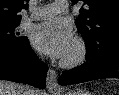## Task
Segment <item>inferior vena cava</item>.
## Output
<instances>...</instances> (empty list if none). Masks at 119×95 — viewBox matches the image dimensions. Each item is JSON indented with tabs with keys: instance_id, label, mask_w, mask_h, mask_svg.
<instances>
[{
	"instance_id": "602c4592",
	"label": "inferior vena cava",
	"mask_w": 119,
	"mask_h": 95,
	"mask_svg": "<svg viewBox=\"0 0 119 95\" xmlns=\"http://www.w3.org/2000/svg\"><path fill=\"white\" fill-rule=\"evenodd\" d=\"M21 95H32V90L29 88V86L25 85L22 88Z\"/></svg>"
}]
</instances>
